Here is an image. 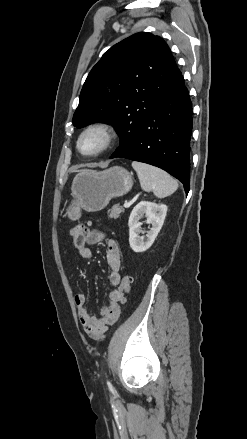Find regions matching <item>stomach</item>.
<instances>
[{
  "label": "stomach",
  "mask_w": 247,
  "mask_h": 439,
  "mask_svg": "<svg viewBox=\"0 0 247 439\" xmlns=\"http://www.w3.org/2000/svg\"><path fill=\"white\" fill-rule=\"evenodd\" d=\"M133 178L125 168L114 166L103 171H84L75 176L71 186L73 200L67 216L78 219L81 210L96 212L104 209L113 198L127 194Z\"/></svg>",
  "instance_id": "obj_1"
}]
</instances>
